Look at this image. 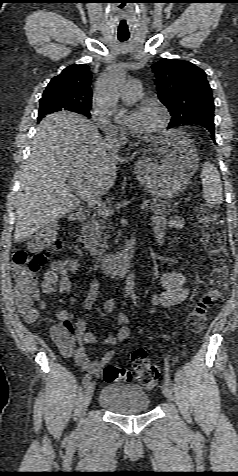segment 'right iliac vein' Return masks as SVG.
Here are the masks:
<instances>
[{"label": "right iliac vein", "mask_w": 238, "mask_h": 476, "mask_svg": "<svg viewBox=\"0 0 238 476\" xmlns=\"http://www.w3.org/2000/svg\"><path fill=\"white\" fill-rule=\"evenodd\" d=\"M93 393H94V383L93 382H89L86 387H85V392H84V397H83V403H82V411L85 412V410L87 409V407L89 406L90 402H91V399H92V396H93ZM80 427H81V424L78 426V428L76 429V432L75 434H79L80 432Z\"/></svg>", "instance_id": "right-iliac-vein-1"}]
</instances>
